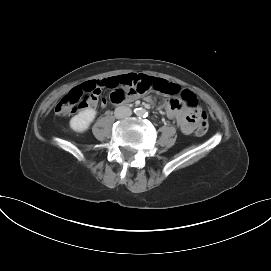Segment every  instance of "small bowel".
I'll return each instance as SVG.
<instances>
[{
  "label": "small bowel",
  "instance_id": "1",
  "mask_svg": "<svg viewBox=\"0 0 271 271\" xmlns=\"http://www.w3.org/2000/svg\"><path fill=\"white\" fill-rule=\"evenodd\" d=\"M89 84L96 88L97 94L88 99L87 106L94 107L98 104V95L102 88L112 90L110 100L114 103L128 102L137 97H146L147 102L164 106L168 117L177 121L180 130L184 134H190L194 131L196 126L195 115L198 111H201L198 106L193 108L181 104L175 97L159 101L148 96V91H158L165 95H173L178 88L176 84L165 79L148 76L146 74H121L101 80L87 81L82 83L80 87L86 88ZM183 92L191 94L187 90ZM102 104H105V102H102Z\"/></svg>",
  "mask_w": 271,
  "mask_h": 271
}]
</instances>
